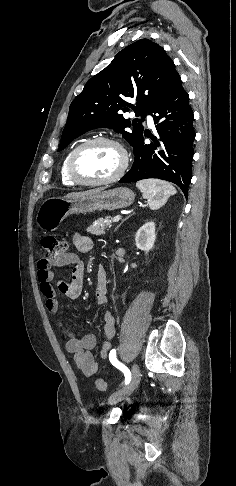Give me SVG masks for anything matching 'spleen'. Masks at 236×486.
<instances>
[{"label": "spleen", "instance_id": "3e777b00", "mask_svg": "<svg viewBox=\"0 0 236 486\" xmlns=\"http://www.w3.org/2000/svg\"><path fill=\"white\" fill-rule=\"evenodd\" d=\"M144 199H147L150 209L157 210L162 207L170 196L177 193L168 182L157 179H146L136 183Z\"/></svg>", "mask_w": 236, "mask_h": 486}]
</instances>
